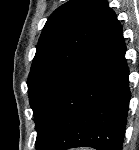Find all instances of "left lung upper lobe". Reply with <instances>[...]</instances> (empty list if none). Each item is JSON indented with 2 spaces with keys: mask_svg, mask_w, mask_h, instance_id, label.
Instances as JSON below:
<instances>
[{
  "mask_svg": "<svg viewBox=\"0 0 139 150\" xmlns=\"http://www.w3.org/2000/svg\"><path fill=\"white\" fill-rule=\"evenodd\" d=\"M111 9L105 0H70L48 18L28 76L37 140L64 83L87 51Z\"/></svg>",
  "mask_w": 139,
  "mask_h": 150,
  "instance_id": "5c2ea615",
  "label": "left lung upper lobe"
}]
</instances>
